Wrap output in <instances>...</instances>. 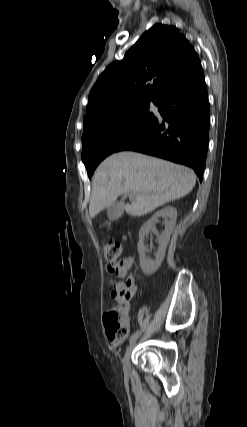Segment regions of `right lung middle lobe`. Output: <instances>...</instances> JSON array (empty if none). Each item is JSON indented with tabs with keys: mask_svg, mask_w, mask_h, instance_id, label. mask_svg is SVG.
I'll return each instance as SVG.
<instances>
[{
	"mask_svg": "<svg viewBox=\"0 0 247 427\" xmlns=\"http://www.w3.org/2000/svg\"><path fill=\"white\" fill-rule=\"evenodd\" d=\"M153 116L149 113V105H136L84 129L82 161L88 177L93 175L104 158L117 152L122 145L136 136Z\"/></svg>",
	"mask_w": 247,
	"mask_h": 427,
	"instance_id": "obj_1",
	"label": "right lung middle lobe"
}]
</instances>
